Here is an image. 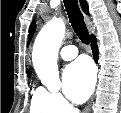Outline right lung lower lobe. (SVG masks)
<instances>
[{
  "instance_id": "98d812e1",
  "label": "right lung lower lobe",
  "mask_w": 121,
  "mask_h": 113,
  "mask_svg": "<svg viewBox=\"0 0 121 113\" xmlns=\"http://www.w3.org/2000/svg\"><path fill=\"white\" fill-rule=\"evenodd\" d=\"M91 48H92L94 59L97 62V60H98V47L96 44L95 36H92V38H91Z\"/></svg>"
}]
</instances>
